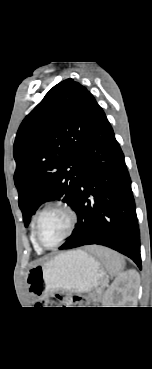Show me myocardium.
<instances>
[{"instance_id": "obj_1", "label": "myocardium", "mask_w": 152, "mask_h": 369, "mask_svg": "<svg viewBox=\"0 0 152 369\" xmlns=\"http://www.w3.org/2000/svg\"><path fill=\"white\" fill-rule=\"evenodd\" d=\"M52 208H59L61 210H63L67 216H68V228L65 232V234L54 244L47 246L44 245L40 239H39V234H38V230H39V221L41 216L43 215V213H45L47 210L52 209ZM77 213L76 211L73 209V207L68 204L67 202L63 201V200H51L47 203H45L37 212L35 219H34V224H33V238L35 243L37 244V246L40 249H45V250H51L54 249L56 247H58L59 245H61L66 239H68L72 233L75 230L76 224H77Z\"/></svg>"}]
</instances>
